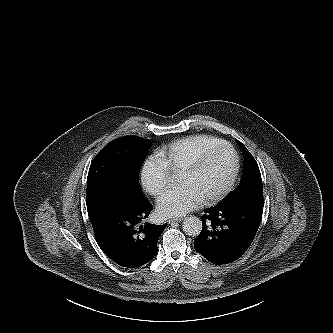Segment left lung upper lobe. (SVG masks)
<instances>
[{"label": "left lung upper lobe", "instance_id": "1", "mask_svg": "<svg viewBox=\"0 0 333 333\" xmlns=\"http://www.w3.org/2000/svg\"><path fill=\"white\" fill-rule=\"evenodd\" d=\"M238 143L241 145L244 153V166L242 177L238 187L232 193H230L223 201L229 200L239 195L241 192L250 191L254 188L263 189L258 164L256 163L251 153L247 150V148L240 141H238Z\"/></svg>", "mask_w": 333, "mask_h": 333}]
</instances>
